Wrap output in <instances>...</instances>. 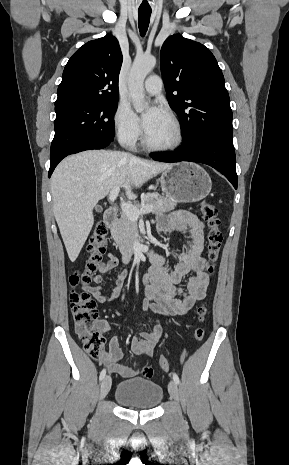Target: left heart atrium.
I'll return each mask as SVG.
<instances>
[{
	"label": "left heart atrium",
	"instance_id": "obj_1",
	"mask_svg": "<svg viewBox=\"0 0 289 465\" xmlns=\"http://www.w3.org/2000/svg\"><path fill=\"white\" fill-rule=\"evenodd\" d=\"M162 114L163 110L159 105H151L142 116V126L144 131L148 132L151 130Z\"/></svg>",
	"mask_w": 289,
	"mask_h": 465
}]
</instances>
